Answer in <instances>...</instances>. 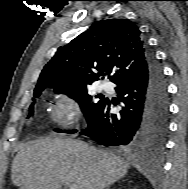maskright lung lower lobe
<instances>
[{"label":"right lung lower lobe","mask_w":188,"mask_h":189,"mask_svg":"<svg viewBox=\"0 0 188 189\" xmlns=\"http://www.w3.org/2000/svg\"><path fill=\"white\" fill-rule=\"evenodd\" d=\"M116 91L123 103L120 113L112 114L114 103L104 99L81 134L104 146L161 151L168 132L169 100L165 76L151 51L146 72L120 82Z\"/></svg>","instance_id":"98d812e1"}]
</instances>
